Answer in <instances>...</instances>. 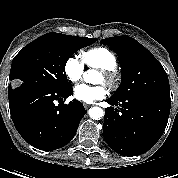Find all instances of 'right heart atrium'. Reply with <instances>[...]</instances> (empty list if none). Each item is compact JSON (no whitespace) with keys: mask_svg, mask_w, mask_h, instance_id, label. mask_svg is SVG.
Wrapping results in <instances>:
<instances>
[{"mask_svg":"<svg viewBox=\"0 0 178 178\" xmlns=\"http://www.w3.org/2000/svg\"><path fill=\"white\" fill-rule=\"evenodd\" d=\"M64 73L69 81L78 82L84 73L83 62L75 56L69 57L64 64Z\"/></svg>","mask_w":178,"mask_h":178,"instance_id":"right-heart-atrium-1","label":"right heart atrium"}]
</instances>
